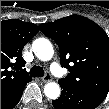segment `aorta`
Wrapping results in <instances>:
<instances>
[{"label":"aorta","instance_id":"762f6f07","mask_svg":"<svg viewBox=\"0 0 109 109\" xmlns=\"http://www.w3.org/2000/svg\"><path fill=\"white\" fill-rule=\"evenodd\" d=\"M32 49L36 57L42 61H49L52 59L54 50L51 42L46 38H38L33 42ZM45 95L52 100L60 96L61 89L58 83L49 82L44 87Z\"/></svg>","mask_w":109,"mask_h":109}]
</instances>
